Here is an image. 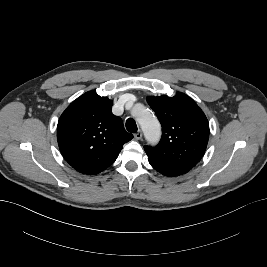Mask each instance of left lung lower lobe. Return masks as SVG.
Instances as JSON below:
<instances>
[{"label": "left lung lower lobe", "instance_id": "0a47b994", "mask_svg": "<svg viewBox=\"0 0 267 267\" xmlns=\"http://www.w3.org/2000/svg\"><path fill=\"white\" fill-rule=\"evenodd\" d=\"M151 166L160 172L161 174L165 176H178L187 173L189 170L188 169H182V168H174V167H165L161 165H155L150 163Z\"/></svg>", "mask_w": 267, "mask_h": 267}]
</instances>
